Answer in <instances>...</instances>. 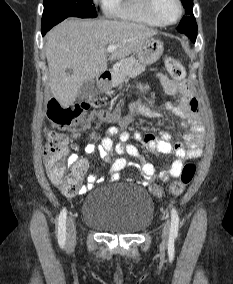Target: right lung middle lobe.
I'll list each match as a JSON object with an SVG mask.
<instances>
[{
    "mask_svg": "<svg viewBox=\"0 0 233 284\" xmlns=\"http://www.w3.org/2000/svg\"><path fill=\"white\" fill-rule=\"evenodd\" d=\"M70 16L96 17L93 0H44L42 29L51 28Z\"/></svg>",
    "mask_w": 233,
    "mask_h": 284,
    "instance_id": "obj_1",
    "label": "right lung middle lobe"
}]
</instances>
